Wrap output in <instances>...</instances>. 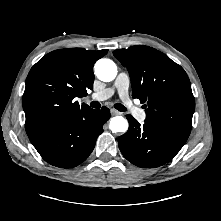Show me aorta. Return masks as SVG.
I'll list each match as a JSON object with an SVG mask.
<instances>
[{
  "instance_id": "762f6f07",
  "label": "aorta",
  "mask_w": 221,
  "mask_h": 221,
  "mask_svg": "<svg viewBox=\"0 0 221 221\" xmlns=\"http://www.w3.org/2000/svg\"><path fill=\"white\" fill-rule=\"evenodd\" d=\"M95 74L101 81L111 82L117 76V66L110 59H100L94 66ZM110 130L114 133L126 132L128 130V122L122 116H115L110 120Z\"/></svg>"
}]
</instances>
